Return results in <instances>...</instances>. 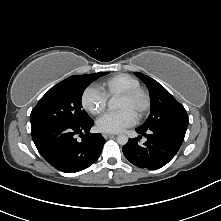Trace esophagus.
<instances>
[{
	"mask_svg": "<svg viewBox=\"0 0 221 221\" xmlns=\"http://www.w3.org/2000/svg\"><path fill=\"white\" fill-rule=\"evenodd\" d=\"M102 135H103V137H104L105 139H107V138H110V137H113V136H114V134H111V133H103Z\"/></svg>",
	"mask_w": 221,
	"mask_h": 221,
	"instance_id": "34e87169",
	"label": "esophagus"
}]
</instances>
